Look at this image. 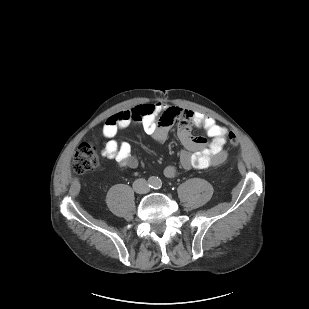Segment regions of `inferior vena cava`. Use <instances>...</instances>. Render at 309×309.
Wrapping results in <instances>:
<instances>
[{
	"mask_svg": "<svg viewBox=\"0 0 309 309\" xmlns=\"http://www.w3.org/2000/svg\"><path fill=\"white\" fill-rule=\"evenodd\" d=\"M133 189L139 194H145L149 192L148 183L145 179L140 178L133 182Z\"/></svg>",
	"mask_w": 309,
	"mask_h": 309,
	"instance_id": "obj_1",
	"label": "inferior vena cava"
}]
</instances>
